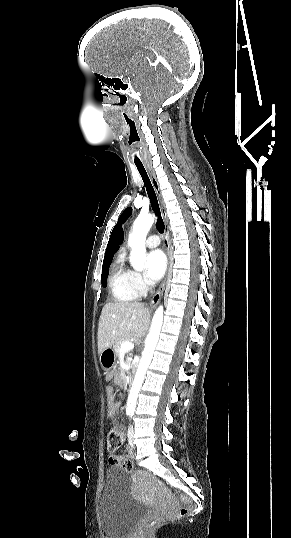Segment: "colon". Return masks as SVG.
<instances>
[{"label": "colon", "mask_w": 291, "mask_h": 538, "mask_svg": "<svg viewBox=\"0 0 291 538\" xmlns=\"http://www.w3.org/2000/svg\"><path fill=\"white\" fill-rule=\"evenodd\" d=\"M123 443V433L122 430L116 425H111L107 430V445L110 451L117 450L120 445ZM117 465H120L124 470L131 471L133 469V462L130 459H123L116 461ZM190 512V506L185 502L174 514V519H181L185 517ZM160 521L158 519H153L148 525V533L152 532L158 525Z\"/></svg>", "instance_id": "obj_1"}]
</instances>
